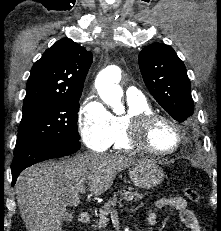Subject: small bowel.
<instances>
[{"label":"small bowel","mask_w":221,"mask_h":231,"mask_svg":"<svg viewBox=\"0 0 221 231\" xmlns=\"http://www.w3.org/2000/svg\"><path fill=\"white\" fill-rule=\"evenodd\" d=\"M170 208L179 213L181 222L188 231H201L200 224L195 214L187 207L186 200L181 196L160 197L154 201L152 211L149 214V222L156 223L155 211Z\"/></svg>","instance_id":"obj_1"}]
</instances>
